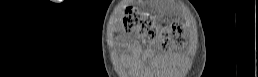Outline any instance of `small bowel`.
Masks as SVG:
<instances>
[{"mask_svg": "<svg viewBox=\"0 0 258 77\" xmlns=\"http://www.w3.org/2000/svg\"><path fill=\"white\" fill-rule=\"evenodd\" d=\"M127 47L133 53L132 59H136L139 56V54L141 53L140 47L138 46V44L135 40H128Z\"/></svg>", "mask_w": 258, "mask_h": 77, "instance_id": "obj_1", "label": "small bowel"}]
</instances>
